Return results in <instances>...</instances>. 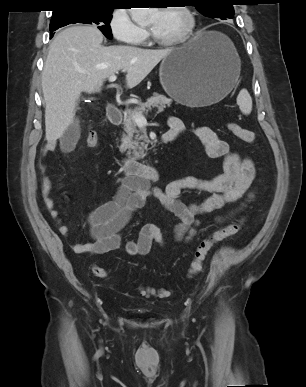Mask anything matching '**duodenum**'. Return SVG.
I'll use <instances>...</instances> for the list:
<instances>
[{
	"label": "duodenum",
	"mask_w": 306,
	"mask_h": 387,
	"mask_svg": "<svg viewBox=\"0 0 306 387\" xmlns=\"http://www.w3.org/2000/svg\"><path fill=\"white\" fill-rule=\"evenodd\" d=\"M107 116L109 121L114 125H118L122 122V112L114 105L108 106ZM174 139H176V136L169 133H165L162 136V140L164 142H170ZM123 168L125 173L133 179L155 181L159 177L157 168L150 163H143L133 159H126L123 162Z\"/></svg>",
	"instance_id": "1"
}]
</instances>
